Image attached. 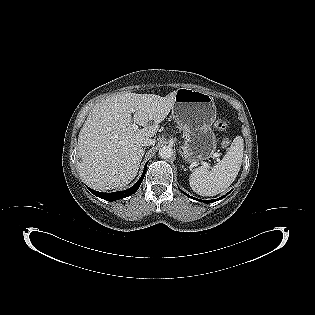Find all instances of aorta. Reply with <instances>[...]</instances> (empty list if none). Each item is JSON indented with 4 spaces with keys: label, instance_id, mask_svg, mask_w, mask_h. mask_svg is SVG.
Wrapping results in <instances>:
<instances>
[{
    "label": "aorta",
    "instance_id": "762f6f07",
    "mask_svg": "<svg viewBox=\"0 0 315 315\" xmlns=\"http://www.w3.org/2000/svg\"><path fill=\"white\" fill-rule=\"evenodd\" d=\"M173 155V148L171 146H163L159 149V156L162 159H168Z\"/></svg>",
    "mask_w": 315,
    "mask_h": 315
}]
</instances>
